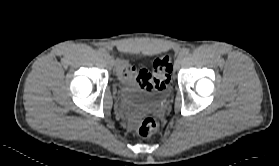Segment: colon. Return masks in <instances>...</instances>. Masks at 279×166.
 <instances>
[{
  "label": "colon",
  "mask_w": 279,
  "mask_h": 166,
  "mask_svg": "<svg viewBox=\"0 0 279 166\" xmlns=\"http://www.w3.org/2000/svg\"><path fill=\"white\" fill-rule=\"evenodd\" d=\"M172 71V62L169 56H162L156 59L153 63V71L150 73L145 68H140L136 74L135 80L138 86L145 91H162L169 81ZM158 128V122L152 117L145 118L139 128L138 134L140 137L147 138L152 135Z\"/></svg>",
  "instance_id": "1"
}]
</instances>
